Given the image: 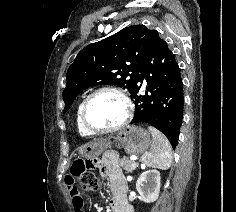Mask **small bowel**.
Listing matches in <instances>:
<instances>
[{"mask_svg": "<svg viewBox=\"0 0 236 212\" xmlns=\"http://www.w3.org/2000/svg\"><path fill=\"white\" fill-rule=\"evenodd\" d=\"M102 173L108 178L111 184L112 196L110 207L112 212H133L131 205L126 199L127 183L122 175L121 170L111 161L110 157H105L100 163ZM73 171V169H72ZM65 184L68 188L74 212H84V201L81 193L75 186L80 184L78 175H67Z\"/></svg>", "mask_w": 236, "mask_h": 212, "instance_id": "c3829d8e", "label": "small bowel"}]
</instances>
